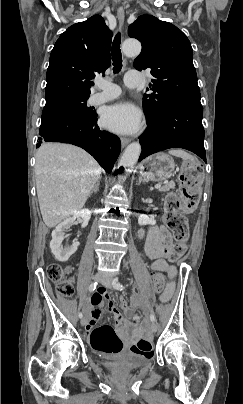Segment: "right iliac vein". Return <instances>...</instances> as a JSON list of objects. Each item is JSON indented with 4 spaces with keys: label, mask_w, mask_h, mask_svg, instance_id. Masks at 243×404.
<instances>
[{
    "label": "right iliac vein",
    "mask_w": 243,
    "mask_h": 404,
    "mask_svg": "<svg viewBox=\"0 0 243 404\" xmlns=\"http://www.w3.org/2000/svg\"><path fill=\"white\" fill-rule=\"evenodd\" d=\"M101 279H102V274H100V273H97V274L93 277V280H94L95 282H98V281H100ZM85 324H86V318L83 317V318L81 319V325L84 326Z\"/></svg>",
    "instance_id": "obj_1"
}]
</instances>
